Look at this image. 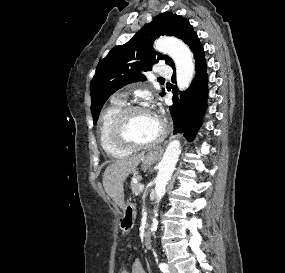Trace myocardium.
Instances as JSON below:
<instances>
[{
    "label": "myocardium",
    "instance_id": "obj_1",
    "mask_svg": "<svg viewBox=\"0 0 285 273\" xmlns=\"http://www.w3.org/2000/svg\"><path fill=\"white\" fill-rule=\"evenodd\" d=\"M146 109L139 105H129L121 109L116 116L111 130V135L114 143L122 149L134 151L150 148L160 143L167 134V125L163 119L157 117L160 124V132L158 136L152 141L145 143H136L130 140L125 132L127 120L130 115L139 111H145Z\"/></svg>",
    "mask_w": 285,
    "mask_h": 273
}]
</instances>
